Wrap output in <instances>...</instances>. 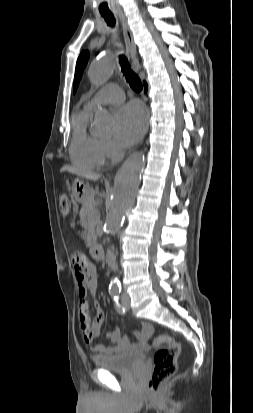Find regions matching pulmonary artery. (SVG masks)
<instances>
[{"mask_svg":"<svg viewBox=\"0 0 253 413\" xmlns=\"http://www.w3.org/2000/svg\"><path fill=\"white\" fill-rule=\"evenodd\" d=\"M124 100L123 91L114 84H110L97 92L87 103L86 107L94 109L98 105L117 104Z\"/></svg>","mask_w":253,"mask_h":413,"instance_id":"1","label":"pulmonary artery"}]
</instances>
